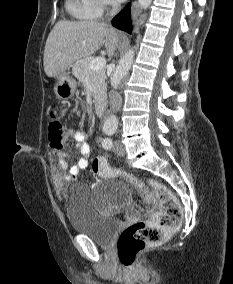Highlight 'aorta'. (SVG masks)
<instances>
[{"instance_id": "obj_1", "label": "aorta", "mask_w": 233, "mask_h": 284, "mask_svg": "<svg viewBox=\"0 0 233 284\" xmlns=\"http://www.w3.org/2000/svg\"><path fill=\"white\" fill-rule=\"evenodd\" d=\"M139 5L143 9H147L150 5L152 0H138ZM134 59V48H130L125 55L119 61L118 66L114 70L110 82L113 89H117L120 85L124 76L130 70ZM104 126L108 129H116L118 126V119L116 115L111 114L107 120L105 121Z\"/></svg>"}]
</instances>
